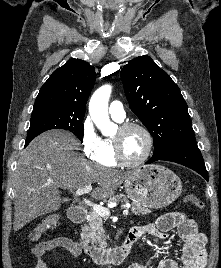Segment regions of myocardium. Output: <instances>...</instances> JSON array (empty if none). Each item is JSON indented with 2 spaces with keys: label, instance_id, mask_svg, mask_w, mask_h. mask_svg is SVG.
<instances>
[{
  "label": "myocardium",
  "instance_id": "myocardium-1",
  "mask_svg": "<svg viewBox=\"0 0 221 268\" xmlns=\"http://www.w3.org/2000/svg\"><path fill=\"white\" fill-rule=\"evenodd\" d=\"M130 129L141 130L144 133L146 140H147L146 150H145L144 154L139 159H137V160L127 159L123 155L119 141L117 139L113 138L112 143H113L114 154H115V158H116L117 162L120 163L121 165H124L127 167H135V166H139V165L143 164L150 157L152 150H153V147H154V139H153V135L150 132V130L146 126H144L143 124L136 123V122H126V123H123L119 127V130L122 132L130 130Z\"/></svg>",
  "mask_w": 221,
  "mask_h": 268
}]
</instances>
